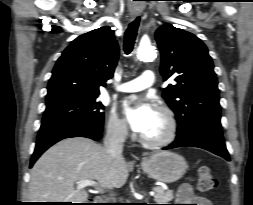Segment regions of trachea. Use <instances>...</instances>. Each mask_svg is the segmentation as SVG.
Segmentation results:
<instances>
[{"label":"trachea","instance_id":"3493384b","mask_svg":"<svg viewBox=\"0 0 253 205\" xmlns=\"http://www.w3.org/2000/svg\"><path fill=\"white\" fill-rule=\"evenodd\" d=\"M139 17H137L133 22H131L125 32L124 39V51L126 54H130L133 50L135 39L137 36V30L139 26Z\"/></svg>","mask_w":253,"mask_h":205}]
</instances>
